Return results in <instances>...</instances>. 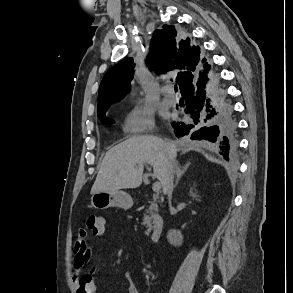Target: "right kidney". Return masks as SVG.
Returning <instances> with one entry per match:
<instances>
[{"instance_id": "1", "label": "right kidney", "mask_w": 293, "mask_h": 293, "mask_svg": "<svg viewBox=\"0 0 293 293\" xmlns=\"http://www.w3.org/2000/svg\"><path fill=\"white\" fill-rule=\"evenodd\" d=\"M190 196H192L193 198L197 197V195L194 194L192 191H190ZM167 238H168L169 242L171 244H174V245H179L182 242L181 234L179 232H176V231L169 232Z\"/></svg>"}]
</instances>
